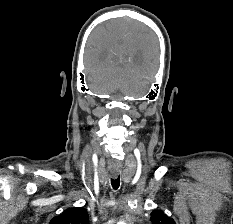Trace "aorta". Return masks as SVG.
<instances>
[{"label": "aorta", "mask_w": 233, "mask_h": 224, "mask_svg": "<svg viewBox=\"0 0 233 224\" xmlns=\"http://www.w3.org/2000/svg\"><path fill=\"white\" fill-rule=\"evenodd\" d=\"M118 224H125L124 222H119Z\"/></svg>", "instance_id": "aorta-1"}]
</instances>
